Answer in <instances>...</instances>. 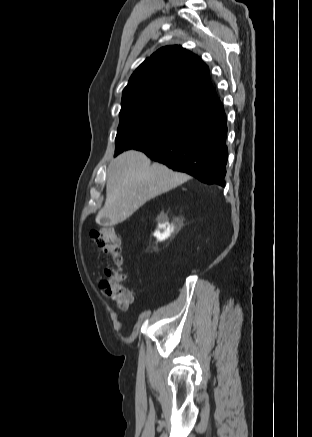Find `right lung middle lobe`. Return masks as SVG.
Masks as SVG:
<instances>
[{
	"mask_svg": "<svg viewBox=\"0 0 312 437\" xmlns=\"http://www.w3.org/2000/svg\"><path fill=\"white\" fill-rule=\"evenodd\" d=\"M196 112L164 103H148L122 108L115 139V156L163 140L183 127Z\"/></svg>",
	"mask_w": 312,
	"mask_h": 437,
	"instance_id": "right-lung-middle-lobe-1",
	"label": "right lung middle lobe"
}]
</instances>
